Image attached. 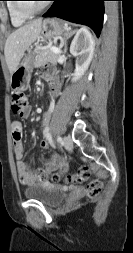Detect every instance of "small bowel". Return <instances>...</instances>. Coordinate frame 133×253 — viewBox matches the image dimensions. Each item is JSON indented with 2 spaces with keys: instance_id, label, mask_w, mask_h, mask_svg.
<instances>
[{
  "instance_id": "obj_1",
  "label": "small bowel",
  "mask_w": 133,
  "mask_h": 253,
  "mask_svg": "<svg viewBox=\"0 0 133 253\" xmlns=\"http://www.w3.org/2000/svg\"><path fill=\"white\" fill-rule=\"evenodd\" d=\"M41 76L45 79L52 80V75L50 71L46 68L41 70ZM58 83H52V94L55 96L58 93ZM31 114V107L27 106L21 115L23 118L29 117ZM50 113L47 112L44 115V124H43V135L44 139L40 143V148L42 150L49 149L53 147L51 136L49 133V123H50ZM12 129V138H13V148L14 154L16 158V166L19 180L24 185H34L45 177H47L53 171H59L61 173H65L68 170V164L66 160L58 155L53 154L49 158V160L45 163L42 173L34 172L29 164L24 160V146L22 142V134H23V126L20 121H13L11 124Z\"/></svg>"
}]
</instances>
